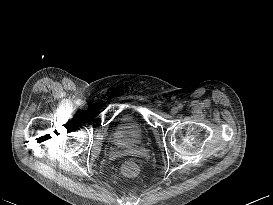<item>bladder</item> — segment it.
<instances>
[{
    "label": "bladder",
    "instance_id": "1",
    "mask_svg": "<svg viewBox=\"0 0 273 205\" xmlns=\"http://www.w3.org/2000/svg\"><path fill=\"white\" fill-rule=\"evenodd\" d=\"M145 137L143 125L129 113L117 116L111 134V140L120 148L139 146Z\"/></svg>",
    "mask_w": 273,
    "mask_h": 205
}]
</instances>
